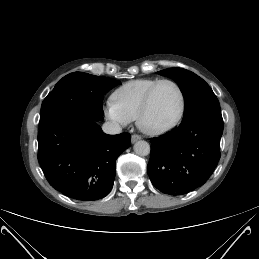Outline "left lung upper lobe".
<instances>
[{"label": "left lung upper lobe", "mask_w": 259, "mask_h": 259, "mask_svg": "<svg viewBox=\"0 0 259 259\" xmlns=\"http://www.w3.org/2000/svg\"><path fill=\"white\" fill-rule=\"evenodd\" d=\"M158 74L172 78L185 99L183 122L197 116L221 114L219 102L210 86L198 75L183 68H168Z\"/></svg>", "instance_id": "1"}]
</instances>
